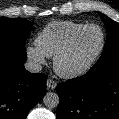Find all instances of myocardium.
I'll list each match as a JSON object with an SVG mask.
<instances>
[{
  "instance_id": "f54148a6",
  "label": "myocardium",
  "mask_w": 119,
  "mask_h": 119,
  "mask_svg": "<svg viewBox=\"0 0 119 119\" xmlns=\"http://www.w3.org/2000/svg\"><path fill=\"white\" fill-rule=\"evenodd\" d=\"M90 28H96L100 31L101 33V43L100 47L97 50V52L94 54V56L84 65L75 68V69H65L62 66V61L64 58L69 54L71 51L74 43L76 42L77 38L86 30ZM105 44H106V36L105 32L102 29L101 26L97 24H86L80 29H78L76 32L73 33V35L69 38L65 46L57 53V55L54 57V69L58 75L64 78H76L84 75L87 73L93 66L94 64L98 61L100 56L102 55L104 49H105Z\"/></svg>"
}]
</instances>
